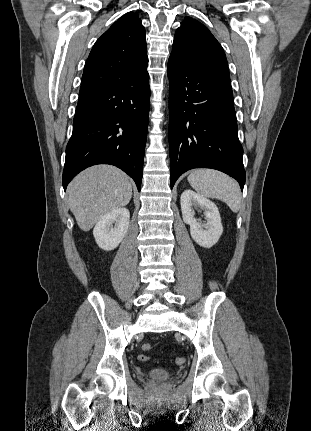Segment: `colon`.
Returning a JSON list of instances; mask_svg holds the SVG:
<instances>
[{"instance_id":"5ec220e1","label":"colon","mask_w":311,"mask_h":431,"mask_svg":"<svg viewBox=\"0 0 311 431\" xmlns=\"http://www.w3.org/2000/svg\"><path fill=\"white\" fill-rule=\"evenodd\" d=\"M150 349H151V345L150 344H143L142 345V350L143 351H149ZM138 359L140 361H142V362H147V361H149L150 358L147 355H145V354H141V355L138 356ZM175 363L177 365H183L185 363V358L182 357V356L176 357Z\"/></svg>"}]
</instances>
